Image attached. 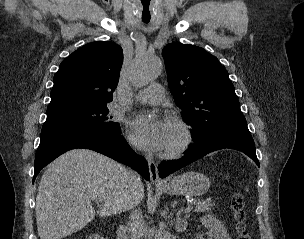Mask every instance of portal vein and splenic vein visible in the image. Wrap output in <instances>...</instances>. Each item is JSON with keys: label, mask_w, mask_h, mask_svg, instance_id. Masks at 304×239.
I'll return each instance as SVG.
<instances>
[{"label": "portal vein and splenic vein", "mask_w": 304, "mask_h": 239, "mask_svg": "<svg viewBox=\"0 0 304 239\" xmlns=\"http://www.w3.org/2000/svg\"><path fill=\"white\" fill-rule=\"evenodd\" d=\"M192 208V205H188V207L185 209V212H190Z\"/></svg>", "instance_id": "1"}]
</instances>
